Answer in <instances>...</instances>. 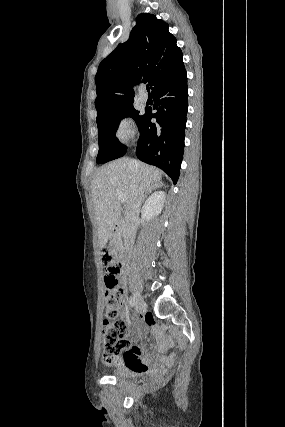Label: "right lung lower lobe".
Instances as JSON below:
<instances>
[{"mask_svg":"<svg viewBox=\"0 0 285 427\" xmlns=\"http://www.w3.org/2000/svg\"><path fill=\"white\" fill-rule=\"evenodd\" d=\"M154 109L146 111L140 126L137 157L165 171L174 183L180 174L188 110L186 71L152 91ZM156 118L157 123L151 119Z\"/></svg>","mask_w":285,"mask_h":427,"instance_id":"98d812e1","label":"right lung lower lobe"}]
</instances>
